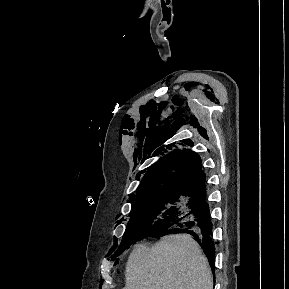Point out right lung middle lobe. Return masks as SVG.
Listing matches in <instances>:
<instances>
[{"label": "right lung middle lobe", "mask_w": 289, "mask_h": 289, "mask_svg": "<svg viewBox=\"0 0 289 289\" xmlns=\"http://www.w3.org/2000/svg\"><path fill=\"white\" fill-rule=\"evenodd\" d=\"M200 197L181 194H162L137 198L128 226L116 255L130 243L154 234H169L194 212Z\"/></svg>", "instance_id": "obj_1"}]
</instances>
